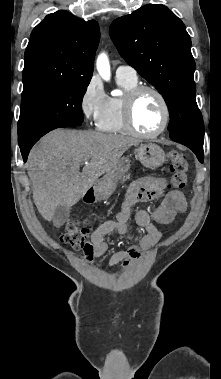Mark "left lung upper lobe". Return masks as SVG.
<instances>
[{
  "mask_svg": "<svg viewBox=\"0 0 221 379\" xmlns=\"http://www.w3.org/2000/svg\"><path fill=\"white\" fill-rule=\"evenodd\" d=\"M110 36L120 55L150 84L169 108L170 138L204 142L196 103L195 61L184 23L164 5H145L114 20Z\"/></svg>",
  "mask_w": 221,
  "mask_h": 379,
  "instance_id": "left-lung-upper-lobe-1",
  "label": "left lung upper lobe"
}]
</instances>
